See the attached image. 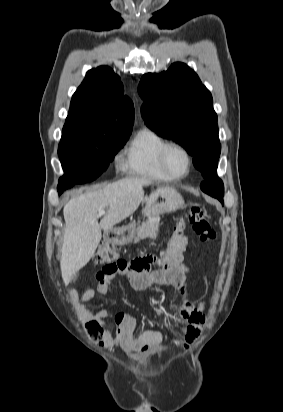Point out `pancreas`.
<instances>
[{"instance_id":"pancreas-1","label":"pancreas","mask_w":283,"mask_h":412,"mask_svg":"<svg viewBox=\"0 0 283 412\" xmlns=\"http://www.w3.org/2000/svg\"><path fill=\"white\" fill-rule=\"evenodd\" d=\"M159 230V220H147L143 222L140 226L137 227L136 230L131 231L130 234L136 235L134 237V241L138 242L141 239H145L147 237H150L152 239H155L157 237V233Z\"/></svg>"}]
</instances>
